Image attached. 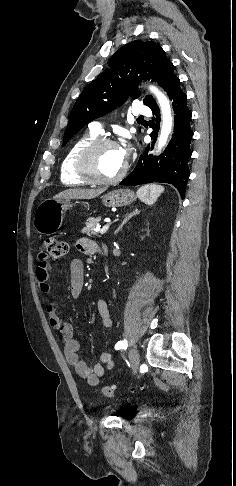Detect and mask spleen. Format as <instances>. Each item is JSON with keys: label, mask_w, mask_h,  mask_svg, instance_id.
<instances>
[{"label": "spleen", "mask_w": 236, "mask_h": 486, "mask_svg": "<svg viewBox=\"0 0 236 486\" xmlns=\"http://www.w3.org/2000/svg\"><path fill=\"white\" fill-rule=\"evenodd\" d=\"M164 187L157 184L143 185L137 190L138 198L148 204H154L158 197L163 193Z\"/></svg>", "instance_id": "1"}]
</instances>
